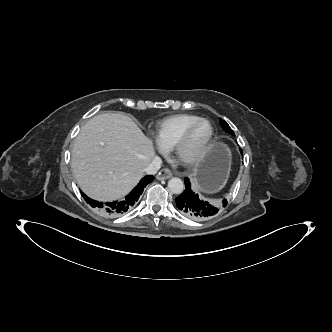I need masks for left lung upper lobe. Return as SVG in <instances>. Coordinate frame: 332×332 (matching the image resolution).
I'll return each mask as SVG.
<instances>
[{"instance_id": "5c2ea615", "label": "left lung upper lobe", "mask_w": 332, "mask_h": 332, "mask_svg": "<svg viewBox=\"0 0 332 332\" xmlns=\"http://www.w3.org/2000/svg\"><path fill=\"white\" fill-rule=\"evenodd\" d=\"M220 125L223 128L224 131H226L227 133L234 135L233 130L230 128V126L223 120L220 118Z\"/></svg>"}]
</instances>
